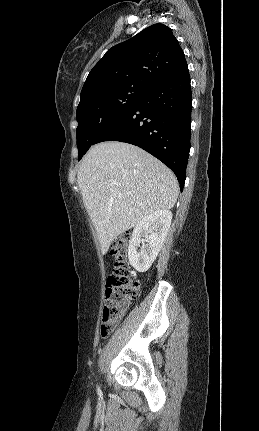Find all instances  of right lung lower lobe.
I'll return each instance as SVG.
<instances>
[{
	"label": "right lung lower lobe",
	"mask_w": 259,
	"mask_h": 431,
	"mask_svg": "<svg viewBox=\"0 0 259 431\" xmlns=\"http://www.w3.org/2000/svg\"><path fill=\"white\" fill-rule=\"evenodd\" d=\"M192 94L189 70L152 87L96 139L130 143L149 152L176 175L181 191L190 151Z\"/></svg>",
	"instance_id": "obj_1"
}]
</instances>
